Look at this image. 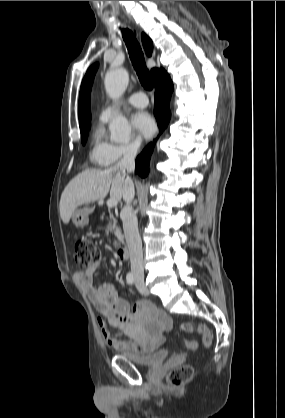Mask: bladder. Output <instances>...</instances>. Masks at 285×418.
<instances>
[{"label": "bladder", "instance_id": "31cf9c89", "mask_svg": "<svg viewBox=\"0 0 285 418\" xmlns=\"http://www.w3.org/2000/svg\"><path fill=\"white\" fill-rule=\"evenodd\" d=\"M121 355L125 356L135 364L145 367L163 364L168 357V353L164 349H155L147 352H137L132 349H124L121 350Z\"/></svg>", "mask_w": 285, "mask_h": 418}]
</instances>
